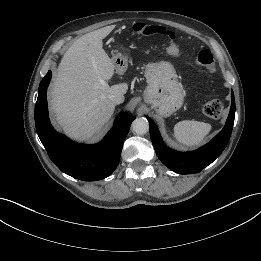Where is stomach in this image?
<instances>
[{"instance_id":"1","label":"stomach","mask_w":261,"mask_h":261,"mask_svg":"<svg viewBox=\"0 0 261 261\" xmlns=\"http://www.w3.org/2000/svg\"><path fill=\"white\" fill-rule=\"evenodd\" d=\"M127 60L126 55L117 52L114 57L117 69L125 68ZM145 78L148 85L144 92V100L158 116L168 117L181 108L184 92L170 62L162 60L148 63L145 65Z\"/></svg>"}]
</instances>
